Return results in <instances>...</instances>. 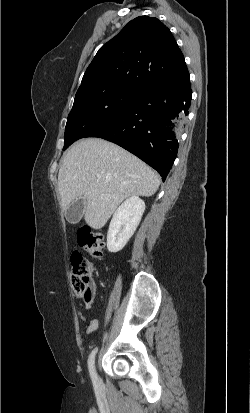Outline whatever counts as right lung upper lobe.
I'll use <instances>...</instances> for the list:
<instances>
[{
    "label": "right lung upper lobe",
    "mask_w": 250,
    "mask_h": 413,
    "mask_svg": "<svg viewBox=\"0 0 250 413\" xmlns=\"http://www.w3.org/2000/svg\"><path fill=\"white\" fill-rule=\"evenodd\" d=\"M189 77L170 30L157 18L139 16L99 49L78 91L116 85L143 91L163 84L180 85Z\"/></svg>",
    "instance_id": "obj_1"
}]
</instances>
